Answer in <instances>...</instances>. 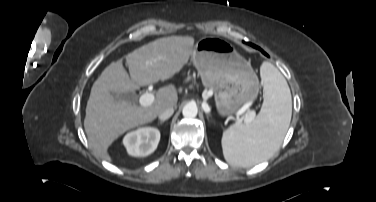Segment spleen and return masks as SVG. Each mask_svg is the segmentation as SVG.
<instances>
[{
    "instance_id": "3e777b00",
    "label": "spleen",
    "mask_w": 376,
    "mask_h": 202,
    "mask_svg": "<svg viewBox=\"0 0 376 202\" xmlns=\"http://www.w3.org/2000/svg\"><path fill=\"white\" fill-rule=\"evenodd\" d=\"M264 102L251 124H234L223 132L224 158L231 165L250 167L270 158L289 128L292 98L284 76L270 62L260 67Z\"/></svg>"
}]
</instances>
